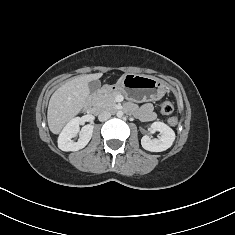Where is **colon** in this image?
Here are the masks:
<instances>
[{"instance_id": "5ec220e1", "label": "colon", "mask_w": 235, "mask_h": 235, "mask_svg": "<svg viewBox=\"0 0 235 235\" xmlns=\"http://www.w3.org/2000/svg\"><path fill=\"white\" fill-rule=\"evenodd\" d=\"M174 111V106L171 102L165 101L161 104V113L165 116H169L173 113ZM169 122L171 125H176L177 123V118L176 117H171L169 119Z\"/></svg>"}]
</instances>
